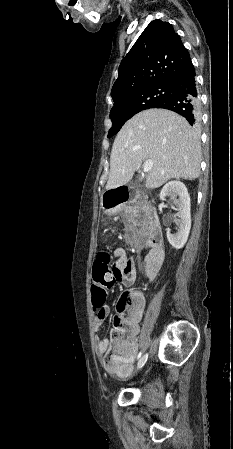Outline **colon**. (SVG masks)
<instances>
[{
	"label": "colon",
	"mask_w": 233,
	"mask_h": 449,
	"mask_svg": "<svg viewBox=\"0 0 233 449\" xmlns=\"http://www.w3.org/2000/svg\"><path fill=\"white\" fill-rule=\"evenodd\" d=\"M112 265L110 255L106 251L98 253L92 267V306L95 311L103 308L111 285ZM143 295L132 290L121 295L117 307L118 315L113 320L112 342L116 352H124L131 337L138 331ZM119 361L106 356L104 366L114 368Z\"/></svg>",
	"instance_id": "colon-1"
}]
</instances>
